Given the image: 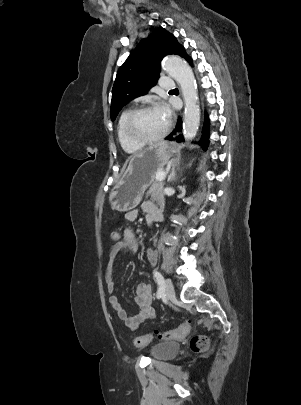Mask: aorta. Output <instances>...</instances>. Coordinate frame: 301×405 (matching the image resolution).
Wrapping results in <instances>:
<instances>
[{
  "mask_svg": "<svg viewBox=\"0 0 301 405\" xmlns=\"http://www.w3.org/2000/svg\"><path fill=\"white\" fill-rule=\"evenodd\" d=\"M162 66L180 84L185 101L183 134L186 141L192 140L200 123L197 84L193 71L188 63L178 56L166 57Z\"/></svg>",
  "mask_w": 301,
  "mask_h": 405,
  "instance_id": "obj_1",
  "label": "aorta"
}]
</instances>
